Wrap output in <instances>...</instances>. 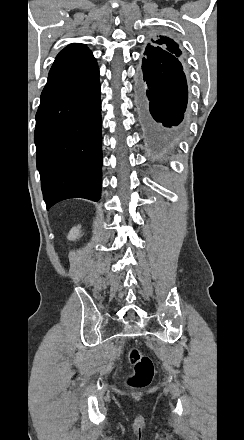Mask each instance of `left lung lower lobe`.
<instances>
[{
	"label": "left lung lower lobe",
	"instance_id": "left-lung-lower-lobe-1",
	"mask_svg": "<svg viewBox=\"0 0 244 440\" xmlns=\"http://www.w3.org/2000/svg\"><path fill=\"white\" fill-rule=\"evenodd\" d=\"M141 70L137 71L135 89L143 141L154 150L175 147L185 134L188 100L182 64L179 60L165 64L143 58Z\"/></svg>",
	"mask_w": 244,
	"mask_h": 440
}]
</instances>
